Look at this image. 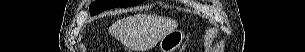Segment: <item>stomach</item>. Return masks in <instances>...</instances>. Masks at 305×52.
Masks as SVG:
<instances>
[{"label": "stomach", "mask_w": 305, "mask_h": 52, "mask_svg": "<svg viewBox=\"0 0 305 52\" xmlns=\"http://www.w3.org/2000/svg\"><path fill=\"white\" fill-rule=\"evenodd\" d=\"M185 39V33L181 29H174L168 32L159 41V52H175L183 43Z\"/></svg>", "instance_id": "stomach-1"}]
</instances>
